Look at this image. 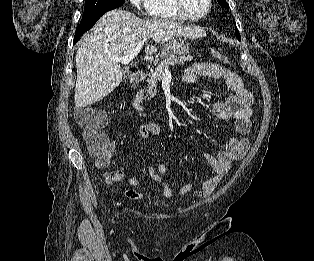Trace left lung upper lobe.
<instances>
[{"label": "left lung upper lobe", "mask_w": 314, "mask_h": 261, "mask_svg": "<svg viewBox=\"0 0 314 261\" xmlns=\"http://www.w3.org/2000/svg\"><path fill=\"white\" fill-rule=\"evenodd\" d=\"M217 1L221 5V7L226 8L227 10H229V5L227 4L226 0H217ZM235 34H236L237 38L239 40H241V36H240V34H239L237 29L235 31Z\"/></svg>", "instance_id": "5c2ea615"}]
</instances>
